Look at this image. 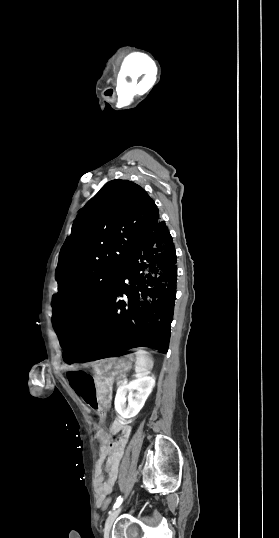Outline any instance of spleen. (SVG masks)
<instances>
[{"label": "spleen", "instance_id": "obj_1", "mask_svg": "<svg viewBox=\"0 0 279 538\" xmlns=\"http://www.w3.org/2000/svg\"><path fill=\"white\" fill-rule=\"evenodd\" d=\"M135 356L137 358L135 362V370H137V372H141V374H146V372L152 370L154 362L149 352H145V350H142V348H137Z\"/></svg>", "mask_w": 279, "mask_h": 538}]
</instances>
